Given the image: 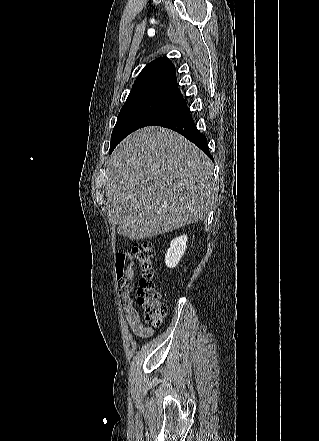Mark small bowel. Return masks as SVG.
<instances>
[{"label": "small bowel", "mask_w": 319, "mask_h": 441, "mask_svg": "<svg viewBox=\"0 0 319 441\" xmlns=\"http://www.w3.org/2000/svg\"><path fill=\"white\" fill-rule=\"evenodd\" d=\"M131 255L129 253H118L116 255V266H122L124 269V283L120 288V299L123 306L126 321L131 331L141 337H147L152 334L153 329L146 327L139 316L138 311L133 305L131 298V291L133 290V269L129 260Z\"/></svg>", "instance_id": "obj_1"}]
</instances>
